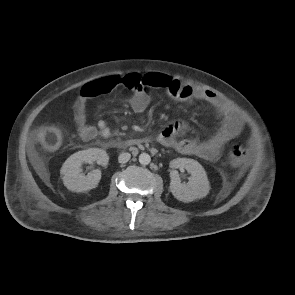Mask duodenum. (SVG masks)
Here are the masks:
<instances>
[{
	"label": "duodenum",
	"instance_id": "1",
	"mask_svg": "<svg viewBox=\"0 0 295 295\" xmlns=\"http://www.w3.org/2000/svg\"><path fill=\"white\" fill-rule=\"evenodd\" d=\"M138 143H139V141H135V140L134 141H128V142L111 141L107 145L110 148H126V147L136 145Z\"/></svg>",
	"mask_w": 295,
	"mask_h": 295
}]
</instances>
